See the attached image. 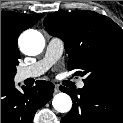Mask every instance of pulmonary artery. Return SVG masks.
<instances>
[{"mask_svg": "<svg viewBox=\"0 0 123 123\" xmlns=\"http://www.w3.org/2000/svg\"><path fill=\"white\" fill-rule=\"evenodd\" d=\"M63 51V41L58 37H52L47 44L44 57L30 66L19 69L17 79L24 81L44 74L61 57ZM77 86L78 88H83L84 82L82 80L79 81Z\"/></svg>", "mask_w": 123, "mask_h": 123, "instance_id": "pulmonary-artery-1", "label": "pulmonary artery"}]
</instances>
